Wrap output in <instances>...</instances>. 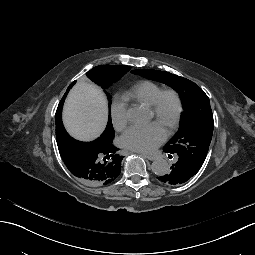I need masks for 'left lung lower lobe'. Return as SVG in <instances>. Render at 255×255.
<instances>
[{"mask_svg": "<svg viewBox=\"0 0 255 255\" xmlns=\"http://www.w3.org/2000/svg\"><path fill=\"white\" fill-rule=\"evenodd\" d=\"M197 173L198 169L192 163L176 157L172 164V171L165 176L160 174L158 179L167 184H183L190 178H196Z\"/></svg>", "mask_w": 255, "mask_h": 255, "instance_id": "obj_1", "label": "left lung lower lobe"}]
</instances>
